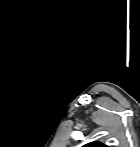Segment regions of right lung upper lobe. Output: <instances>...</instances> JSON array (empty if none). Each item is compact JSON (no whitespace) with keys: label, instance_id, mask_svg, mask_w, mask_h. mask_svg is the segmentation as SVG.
<instances>
[{"label":"right lung upper lobe","instance_id":"right-lung-upper-lobe-1","mask_svg":"<svg viewBox=\"0 0 140 147\" xmlns=\"http://www.w3.org/2000/svg\"><path fill=\"white\" fill-rule=\"evenodd\" d=\"M86 146L87 147H104V145H102L100 143H97V142H93V143L87 144Z\"/></svg>","mask_w":140,"mask_h":147}]
</instances>
